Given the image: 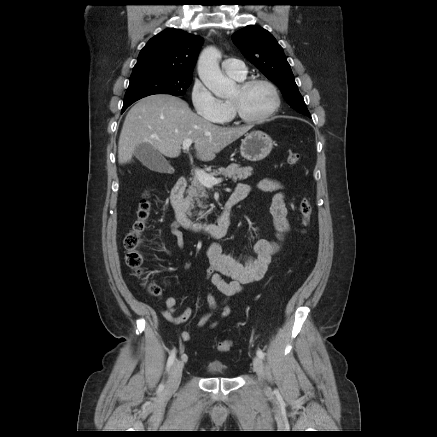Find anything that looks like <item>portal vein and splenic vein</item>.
Segmentation results:
<instances>
[{"mask_svg":"<svg viewBox=\"0 0 437 437\" xmlns=\"http://www.w3.org/2000/svg\"><path fill=\"white\" fill-rule=\"evenodd\" d=\"M192 143H193V140L185 139L183 141V149L188 150ZM194 173H195V177L198 179V181L207 188H212L214 185L222 182L221 178H215V177L207 174L205 171H202L199 169H195Z\"/></svg>","mask_w":437,"mask_h":437,"instance_id":"1","label":"portal vein and splenic vein"}]
</instances>
